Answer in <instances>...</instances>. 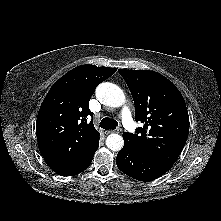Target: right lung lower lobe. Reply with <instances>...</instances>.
I'll list each match as a JSON object with an SVG mask.
<instances>
[{
	"label": "right lung lower lobe",
	"instance_id": "right-lung-lower-lobe-1",
	"mask_svg": "<svg viewBox=\"0 0 221 221\" xmlns=\"http://www.w3.org/2000/svg\"><path fill=\"white\" fill-rule=\"evenodd\" d=\"M98 146H99V142L96 143L93 146V148L80 161H78L73 166L58 172L57 174H59L61 176H73V175L81 173L82 171L87 169L90 166L91 162H92L94 153L98 149Z\"/></svg>",
	"mask_w": 221,
	"mask_h": 221
}]
</instances>
